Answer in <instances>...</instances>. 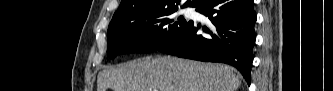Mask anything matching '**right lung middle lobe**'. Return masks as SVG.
I'll return each instance as SVG.
<instances>
[{"mask_svg":"<svg viewBox=\"0 0 333 91\" xmlns=\"http://www.w3.org/2000/svg\"><path fill=\"white\" fill-rule=\"evenodd\" d=\"M176 10L158 12L136 19L113 22L107 31V55L150 53L169 43L188 23Z\"/></svg>","mask_w":333,"mask_h":91,"instance_id":"right-lung-middle-lobe-1","label":"right lung middle lobe"}]
</instances>
